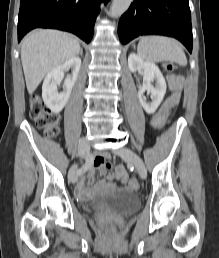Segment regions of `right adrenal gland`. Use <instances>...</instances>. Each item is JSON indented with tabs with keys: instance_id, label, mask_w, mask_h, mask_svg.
Wrapping results in <instances>:
<instances>
[{
	"instance_id": "obj_1",
	"label": "right adrenal gland",
	"mask_w": 219,
	"mask_h": 258,
	"mask_svg": "<svg viewBox=\"0 0 219 258\" xmlns=\"http://www.w3.org/2000/svg\"><path fill=\"white\" fill-rule=\"evenodd\" d=\"M80 55H81V56L83 55V50H82V49H80Z\"/></svg>"
}]
</instances>
